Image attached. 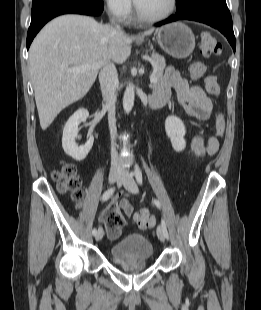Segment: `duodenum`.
<instances>
[{"instance_id": "410a0bca", "label": "duodenum", "mask_w": 261, "mask_h": 310, "mask_svg": "<svg viewBox=\"0 0 261 310\" xmlns=\"http://www.w3.org/2000/svg\"><path fill=\"white\" fill-rule=\"evenodd\" d=\"M165 104V100L161 98L152 97L150 100L151 108H158Z\"/></svg>"}]
</instances>
